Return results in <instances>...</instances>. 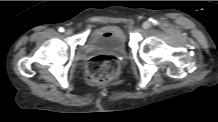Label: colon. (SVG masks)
<instances>
[{
	"mask_svg": "<svg viewBox=\"0 0 218 122\" xmlns=\"http://www.w3.org/2000/svg\"><path fill=\"white\" fill-rule=\"evenodd\" d=\"M120 69L119 60L112 55H98L93 57L87 66L88 79L95 84L112 81Z\"/></svg>",
	"mask_w": 218,
	"mask_h": 122,
	"instance_id": "5ec220e1",
	"label": "colon"
}]
</instances>
